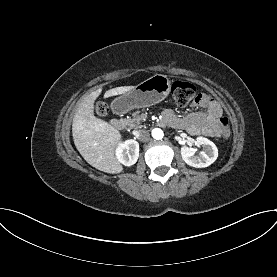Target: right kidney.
<instances>
[{"mask_svg":"<svg viewBox=\"0 0 277 277\" xmlns=\"http://www.w3.org/2000/svg\"><path fill=\"white\" fill-rule=\"evenodd\" d=\"M116 157L120 163L125 166L135 164L139 157V144L135 140H126L119 143L116 148Z\"/></svg>","mask_w":277,"mask_h":277,"instance_id":"right-kidney-1","label":"right kidney"}]
</instances>
